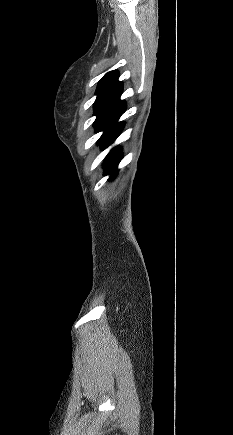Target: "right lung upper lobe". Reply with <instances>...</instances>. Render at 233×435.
<instances>
[{"mask_svg": "<svg viewBox=\"0 0 233 435\" xmlns=\"http://www.w3.org/2000/svg\"><path fill=\"white\" fill-rule=\"evenodd\" d=\"M117 70L108 72L100 81L96 90L97 98L94 103V115L121 116L126 103L120 100L123 83L118 81Z\"/></svg>", "mask_w": 233, "mask_h": 435, "instance_id": "obj_1", "label": "right lung upper lobe"}]
</instances>
